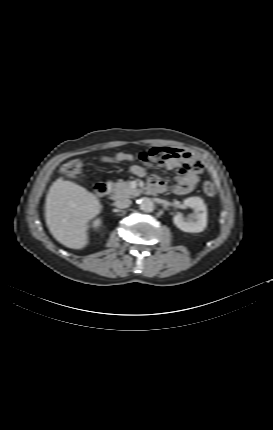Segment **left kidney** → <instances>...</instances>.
Returning a JSON list of instances; mask_svg holds the SVG:
<instances>
[{
	"mask_svg": "<svg viewBox=\"0 0 273 430\" xmlns=\"http://www.w3.org/2000/svg\"><path fill=\"white\" fill-rule=\"evenodd\" d=\"M184 205L192 208L194 214L184 218L181 213H177L173 217L174 224L184 232H202L207 226V207L204 200L200 197H189L184 200Z\"/></svg>",
	"mask_w": 273,
	"mask_h": 430,
	"instance_id": "1",
	"label": "left kidney"
}]
</instances>
